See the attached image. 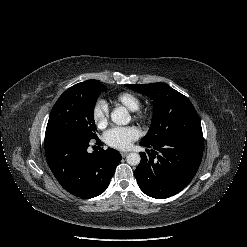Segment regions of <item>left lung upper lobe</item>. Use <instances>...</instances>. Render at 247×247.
Segmentation results:
<instances>
[{
	"label": "left lung upper lobe",
	"mask_w": 247,
	"mask_h": 247,
	"mask_svg": "<svg viewBox=\"0 0 247 247\" xmlns=\"http://www.w3.org/2000/svg\"><path fill=\"white\" fill-rule=\"evenodd\" d=\"M153 100L154 112L142 143H161L174 139L202 140L199 116L190 100L165 83L126 84Z\"/></svg>",
	"instance_id": "left-lung-upper-lobe-1"
}]
</instances>
